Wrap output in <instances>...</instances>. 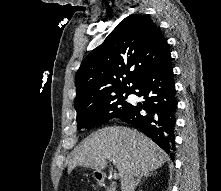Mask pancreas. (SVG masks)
Segmentation results:
<instances>
[{"instance_id":"obj_1","label":"pancreas","mask_w":221,"mask_h":191,"mask_svg":"<svg viewBox=\"0 0 221 191\" xmlns=\"http://www.w3.org/2000/svg\"><path fill=\"white\" fill-rule=\"evenodd\" d=\"M106 191H116V190H115V187L110 186L109 188L106 189Z\"/></svg>"}]
</instances>
